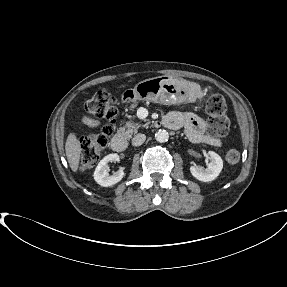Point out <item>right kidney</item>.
<instances>
[{
  "label": "right kidney",
  "mask_w": 287,
  "mask_h": 287,
  "mask_svg": "<svg viewBox=\"0 0 287 287\" xmlns=\"http://www.w3.org/2000/svg\"><path fill=\"white\" fill-rule=\"evenodd\" d=\"M119 156L117 154H109L105 156L97 165L95 171H94V180L103 187H109L112 186L124 177L123 170H118L117 172H114L112 175L109 174L107 164L109 162H118Z\"/></svg>",
  "instance_id": "ca27d5eb"
}]
</instances>
